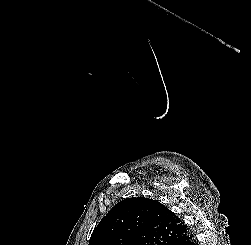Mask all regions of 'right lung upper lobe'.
Instances as JSON below:
<instances>
[{"label": "right lung upper lobe", "instance_id": "cb5924a9", "mask_svg": "<svg viewBox=\"0 0 251 245\" xmlns=\"http://www.w3.org/2000/svg\"><path fill=\"white\" fill-rule=\"evenodd\" d=\"M187 233L184 222L160 202L127 198L95 228L89 245H170Z\"/></svg>", "mask_w": 251, "mask_h": 245}]
</instances>
